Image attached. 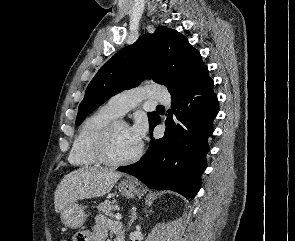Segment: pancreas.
Masks as SVG:
<instances>
[{
	"instance_id": "cf45deb5",
	"label": "pancreas",
	"mask_w": 295,
	"mask_h": 241,
	"mask_svg": "<svg viewBox=\"0 0 295 241\" xmlns=\"http://www.w3.org/2000/svg\"><path fill=\"white\" fill-rule=\"evenodd\" d=\"M117 208V205L115 204V201H106L102 202L97 206V209L105 213L106 215L113 217L112 210H115Z\"/></svg>"
}]
</instances>
